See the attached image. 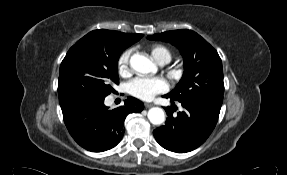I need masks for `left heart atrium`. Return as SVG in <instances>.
<instances>
[{
    "instance_id": "left-heart-atrium-1",
    "label": "left heart atrium",
    "mask_w": 287,
    "mask_h": 175,
    "mask_svg": "<svg viewBox=\"0 0 287 175\" xmlns=\"http://www.w3.org/2000/svg\"><path fill=\"white\" fill-rule=\"evenodd\" d=\"M169 86L161 77L139 76L127 85L128 93L141 100H151L155 95L164 93Z\"/></svg>"
}]
</instances>
